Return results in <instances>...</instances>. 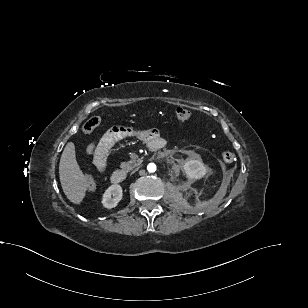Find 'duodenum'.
<instances>
[{"mask_svg":"<svg viewBox=\"0 0 308 308\" xmlns=\"http://www.w3.org/2000/svg\"><path fill=\"white\" fill-rule=\"evenodd\" d=\"M164 145V142L162 141H159V140H156V141H153L152 143H150L148 146H147V149L152 152V153H155L159 150L162 149ZM111 182L114 183V184H120L122 183L125 179H126V173L123 171V170H115L112 174H111Z\"/></svg>","mask_w":308,"mask_h":308,"instance_id":"410a0bca","label":"duodenum"}]
</instances>
